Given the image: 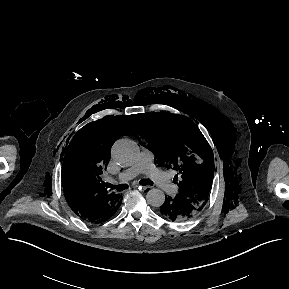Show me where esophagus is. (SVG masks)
Returning <instances> with one entry per match:
<instances>
[{
	"label": "esophagus",
	"instance_id": "obj_1",
	"mask_svg": "<svg viewBox=\"0 0 289 289\" xmlns=\"http://www.w3.org/2000/svg\"><path fill=\"white\" fill-rule=\"evenodd\" d=\"M132 188H134V189H135V188H139V189L145 191V190L149 189L150 186L133 185Z\"/></svg>",
	"mask_w": 289,
	"mask_h": 289
}]
</instances>
